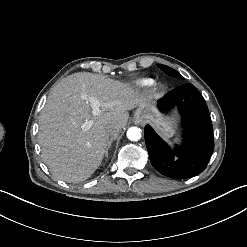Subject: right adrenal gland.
Instances as JSON below:
<instances>
[{
	"instance_id": "obj_1",
	"label": "right adrenal gland",
	"mask_w": 247,
	"mask_h": 247,
	"mask_svg": "<svg viewBox=\"0 0 247 247\" xmlns=\"http://www.w3.org/2000/svg\"><path fill=\"white\" fill-rule=\"evenodd\" d=\"M112 142H113V140H110V141H109L108 146H107V148H106V150H105V156H106V157H108V150L110 149Z\"/></svg>"
}]
</instances>
